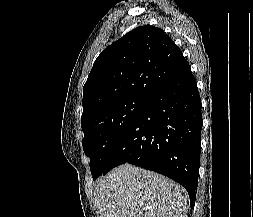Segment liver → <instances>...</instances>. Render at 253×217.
<instances>
[{
	"instance_id": "liver-1",
	"label": "liver",
	"mask_w": 253,
	"mask_h": 217,
	"mask_svg": "<svg viewBox=\"0 0 253 217\" xmlns=\"http://www.w3.org/2000/svg\"><path fill=\"white\" fill-rule=\"evenodd\" d=\"M188 199L173 180L131 164L114 168L94 189L97 217H187Z\"/></svg>"
}]
</instances>
